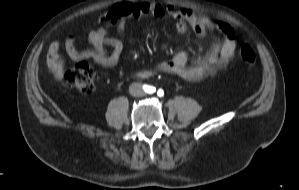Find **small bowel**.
Returning <instances> with one entry per match:
<instances>
[{"label":"small bowel","mask_w":299,"mask_h":190,"mask_svg":"<svg viewBox=\"0 0 299 190\" xmlns=\"http://www.w3.org/2000/svg\"><path fill=\"white\" fill-rule=\"evenodd\" d=\"M150 14L154 17H162L165 14L172 16L176 21V31L182 35L188 27L197 34L203 35L208 28H218L223 35V41L213 45L209 53L202 59L193 63L188 62V52L179 50L171 59L155 62L153 71L174 74L188 81H197L205 76L215 74L224 67L232 58L236 48L235 33L225 24H217L205 16L194 14L187 8L164 6L159 2L122 1L113 4L104 14L103 19L108 26L117 30V35H110L108 27H101L89 33L91 49L79 50L73 38L65 42V51L68 56L76 61L92 60L95 63L112 67L116 65L123 52L124 44L122 36L129 19L138 18ZM110 46L112 51L105 49ZM61 43L53 41L49 46L47 63L50 69L57 66Z\"/></svg>","instance_id":"1"}]
</instances>
